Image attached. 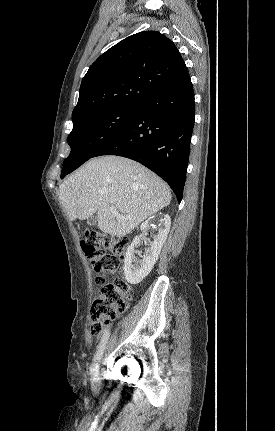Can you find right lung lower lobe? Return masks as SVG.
<instances>
[{
    "instance_id": "obj_1",
    "label": "right lung lower lobe",
    "mask_w": 275,
    "mask_h": 431,
    "mask_svg": "<svg viewBox=\"0 0 275 431\" xmlns=\"http://www.w3.org/2000/svg\"><path fill=\"white\" fill-rule=\"evenodd\" d=\"M194 91L187 73L141 105L133 120L93 157L118 155L145 165L182 200L195 118Z\"/></svg>"
}]
</instances>
